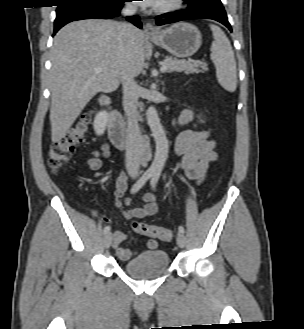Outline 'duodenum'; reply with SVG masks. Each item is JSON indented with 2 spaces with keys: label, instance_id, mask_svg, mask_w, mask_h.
<instances>
[{
  "label": "duodenum",
  "instance_id": "1",
  "mask_svg": "<svg viewBox=\"0 0 304 329\" xmlns=\"http://www.w3.org/2000/svg\"><path fill=\"white\" fill-rule=\"evenodd\" d=\"M109 121V135L113 144L117 148H128L131 146L128 134L125 129L122 115L110 106V98L103 95L100 99Z\"/></svg>",
  "mask_w": 304,
  "mask_h": 329
}]
</instances>
